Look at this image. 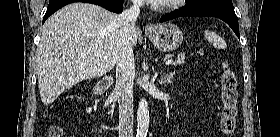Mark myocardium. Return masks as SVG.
Segmentation results:
<instances>
[{
	"instance_id": "obj_1",
	"label": "myocardium",
	"mask_w": 280,
	"mask_h": 137,
	"mask_svg": "<svg viewBox=\"0 0 280 137\" xmlns=\"http://www.w3.org/2000/svg\"><path fill=\"white\" fill-rule=\"evenodd\" d=\"M183 2L182 0H171L168 3H165L163 5H155L159 10H166V9H172L180 5V3Z\"/></svg>"
}]
</instances>
